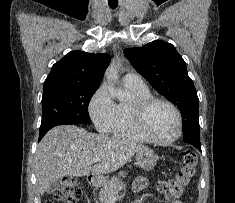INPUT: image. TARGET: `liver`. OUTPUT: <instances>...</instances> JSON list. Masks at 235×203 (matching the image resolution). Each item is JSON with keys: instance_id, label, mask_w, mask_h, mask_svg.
I'll list each match as a JSON object with an SVG mask.
<instances>
[{"instance_id": "obj_1", "label": "liver", "mask_w": 235, "mask_h": 203, "mask_svg": "<svg viewBox=\"0 0 235 203\" xmlns=\"http://www.w3.org/2000/svg\"><path fill=\"white\" fill-rule=\"evenodd\" d=\"M146 146L133 140L90 133L74 125L52 128L37 146L35 174L39 193L65 176H103L123 167ZM99 157L98 164L94 159Z\"/></svg>"}]
</instances>
